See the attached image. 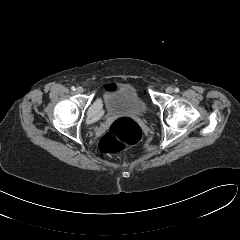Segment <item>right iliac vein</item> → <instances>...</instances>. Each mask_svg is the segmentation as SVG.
I'll use <instances>...</instances> for the list:
<instances>
[{
  "label": "right iliac vein",
  "mask_w": 240,
  "mask_h": 240,
  "mask_svg": "<svg viewBox=\"0 0 240 240\" xmlns=\"http://www.w3.org/2000/svg\"><path fill=\"white\" fill-rule=\"evenodd\" d=\"M83 88L82 87H77L76 88V93L80 94V93H83Z\"/></svg>",
  "instance_id": "obj_1"
}]
</instances>
